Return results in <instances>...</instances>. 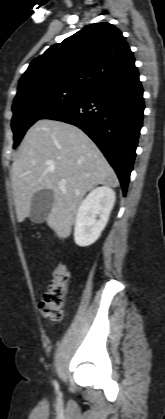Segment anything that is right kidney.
<instances>
[{
	"instance_id": "ca27d5eb",
	"label": "right kidney",
	"mask_w": 165,
	"mask_h": 419,
	"mask_svg": "<svg viewBox=\"0 0 165 419\" xmlns=\"http://www.w3.org/2000/svg\"><path fill=\"white\" fill-rule=\"evenodd\" d=\"M115 199L114 190L102 186L93 189L81 202L74 228V240L78 246H89L99 238L107 224Z\"/></svg>"
}]
</instances>
